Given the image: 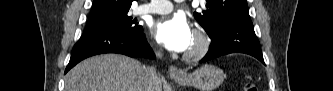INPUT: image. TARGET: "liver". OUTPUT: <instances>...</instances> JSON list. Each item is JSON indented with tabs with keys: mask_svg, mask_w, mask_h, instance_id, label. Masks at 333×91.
Returning a JSON list of instances; mask_svg holds the SVG:
<instances>
[{
	"mask_svg": "<svg viewBox=\"0 0 333 91\" xmlns=\"http://www.w3.org/2000/svg\"><path fill=\"white\" fill-rule=\"evenodd\" d=\"M145 69L139 61L126 56H95L67 73L65 91H148ZM153 89L162 91L159 77Z\"/></svg>",
	"mask_w": 333,
	"mask_h": 91,
	"instance_id": "liver-1",
	"label": "liver"
}]
</instances>
